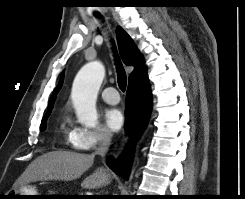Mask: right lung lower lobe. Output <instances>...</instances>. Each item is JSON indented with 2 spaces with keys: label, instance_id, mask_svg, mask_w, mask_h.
Listing matches in <instances>:
<instances>
[{
  "label": "right lung lower lobe",
  "instance_id": "obj_1",
  "mask_svg": "<svg viewBox=\"0 0 245 199\" xmlns=\"http://www.w3.org/2000/svg\"><path fill=\"white\" fill-rule=\"evenodd\" d=\"M151 91L148 82L128 85L126 95V130L132 135V138L138 136L145 128L151 111ZM132 161L131 147H128L124 156L118 161L112 158L107 159L108 167L117 175L128 179Z\"/></svg>",
  "mask_w": 245,
  "mask_h": 199
}]
</instances>
